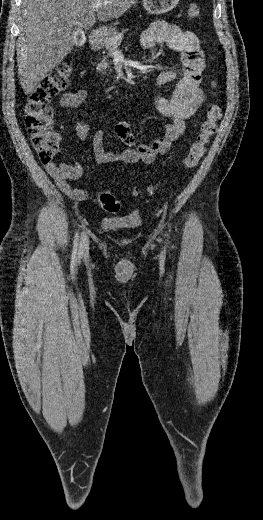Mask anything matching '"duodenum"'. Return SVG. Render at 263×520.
I'll return each mask as SVG.
<instances>
[{
  "label": "duodenum",
  "instance_id": "1",
  "mask_svg": "<svg viewBox=\"0 0 263 520\" xmlns=\"http://www.w3.org/2000/svg\"><path fill=\"white\" fill-rule=\"evenodd\" d=\"M100 36L98 32H93L90 36V46L93 50H97L100 45Z\"/></svg>",
  "mask_w": 263,
  "mask_h": 520
}]
</instances>
